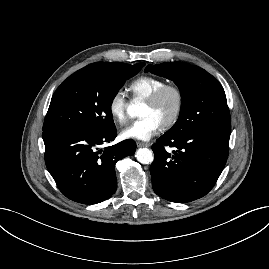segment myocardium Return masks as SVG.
<instances>
[{
    "instance_id": "obj_1",
    "label": "myocardium",
    "mask_w": 269,
    "mask_h": 269,
    "mask_svg": "<svg viewBox=\"0 0 269 269\" xmlns=\"http://www.w3.org/2000/svg\"><path fill=\"white\" fill-rule=\"evenodd\" d=\"M168 92H172L175 95L176 106L171 117L162 124L163 129H169L173 127L180 119L185 104V95L183 89L176 83L163 84L144 99L145 103L153 106L156 105Z\"/></svg>"
}]
</instances>
